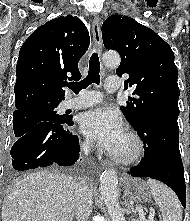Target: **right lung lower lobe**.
Returning <instances> with one entry per match:
<instances>
[{
    "instance_id": "obj_1",
    "label": "right lung lower lobe",
    "mask_w": 190,
    "mask_h": 221,
    "mask_svg": "<svg viewBox=\"0 0 190 221\" xmlns=\"http://www.w3.org/2000/svg\"><path fill=\"white\" fill-rule=\"evenodd\" d=\"M71 118L64 121H43L31 127L11 148L15 170H28L57 163L69 166L79 159L78 137L64 130L72 126Z\"/></svg>"
}]
</instances>
